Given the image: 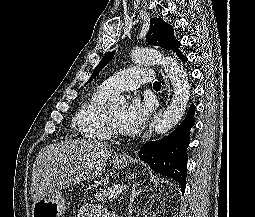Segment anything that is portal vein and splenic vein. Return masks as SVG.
Wrapping results in <instances>:
<instances>
[{"label": "portal vein and splenic vein", "instance_id": "1", "mask_svg": "<svg viewBox=\"0 0 255 217\" xmlns=\"http://www.w3.org/2000/svg\"><path fill=\"white\" fill-rule=\"evenodd\" d=\"M124 189H126V186H125V185L119 187V188L116 190V192L112 191V193H111V195H110V199H115V198H117V197L122 193V191H123Z\"/></svg>", "mask_w": 255, "mask_h": 217}]
</instances>
